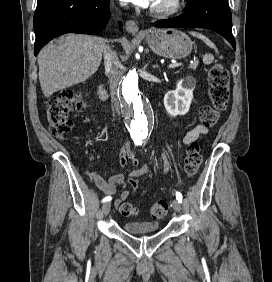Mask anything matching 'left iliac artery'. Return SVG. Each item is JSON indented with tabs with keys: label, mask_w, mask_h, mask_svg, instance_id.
I'll list each match as a JSON object with an SVG mask.
<instances>
[{
	"label": "left iliac artery",
	"mask_w": 272,
	"mask_h": 282,
	"mask_svg": "<svg viewBox=\"0 0 272 282\" xmlns=\"http://www.w3.org/2000/svg\"><path fill=\"white\" fill-rule=\"evenodd\" d=\"M176 199L178 200V202H182V194L179 192H176Z\"/></svg>",
	"instance_id": "left-iliac-artery-1"
}]
</instances>
